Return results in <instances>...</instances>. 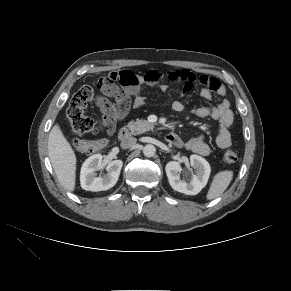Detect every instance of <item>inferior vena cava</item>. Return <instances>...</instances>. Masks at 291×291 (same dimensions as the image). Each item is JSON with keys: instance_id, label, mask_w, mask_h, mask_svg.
<instances>
[{"instance_id": "inferior-vena-cava-1", "label": "inferior vena cava", "mask_w": 291, "mask_h": 291, "mask_svg": "<svg viewBox=\"0 0 291 291\" xmlns=\"http://www.w3.org/2000/svg\"><path fill=\"white\" fill-rule=\"evenodd\" d=\"M136 142H137L136 138L131 137V136L130 137H126L121 141V147L123 149L131 148L136 144Z\"/></svg>"}]
</instances>
